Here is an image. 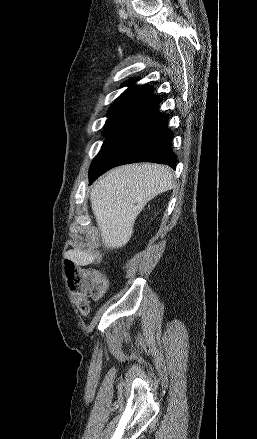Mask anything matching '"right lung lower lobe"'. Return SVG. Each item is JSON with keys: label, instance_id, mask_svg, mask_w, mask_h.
<instances>
[{"label": "right lung lower lobe", "instance_id": "1", "mask_svg": "<svg viewBox=\"0 0 257 439\" xmlns=\"http://www.w3.org/2000/svg\"><path fill=\"white\" fill-rule=\"evenodd\" d=\"M158 104L127 121L102 147L90 166L89 184L107 170L128 163L154 162L176 167V155L171 149L173 133L167 128V116L158 112Z\"/></svg>", "mask_w": 257, "mask_h": 439}]
</instances>
